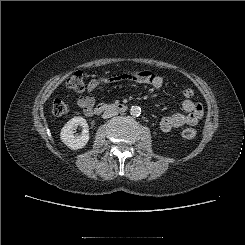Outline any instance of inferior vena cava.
<instances>
[{
    "label": "inferior vena cava",
    "mask_w": 245,
    "mask_h": 245,
    "mask_svg": "<svg viewBox=\"0 0 245 245\" xmlns=\"http://www.w3.org/2000/svg\"><path fill=\"white\" fill-rule=\"evenodd\" d=\"M117 114H118V112L116 110H106L103 113L102 117L104 119H106V118H110V117L116 116Z\"/></svg>",
    "instance_id": "obj_1"
}]
</instances>
